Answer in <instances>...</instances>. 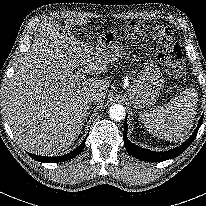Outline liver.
Segmentation results:
<instances>
[{
	"instance_id": "6515ba94",
	"label": "liver",
	"mask_w": 206,
	"mask_h": 206,
	"mask_svg": "<svg viewBox=\"0 0 206 206\" xmlns=\"http://www.w3.org/2000/svg\"><path fill=\"white\" fill-rule=\"evenodd\" d=\"M84 23L70 19L64 28L53 20L41 24L8 83L4 111L17 141L33 154L56 155L69 148L86 120L88 95L96 94L98 103L106 97L108 80L73 78L76 69L105 73L111 62L101 48L71 34L70 27Z\"/></svg>"
}]
</instances>
